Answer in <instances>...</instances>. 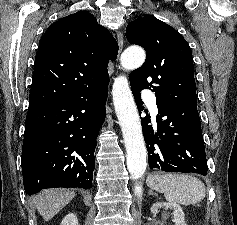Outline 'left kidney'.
<instances>
[{
  "instance_id": "obj_1",
  "label": "left kidney",
  "mask_w": 237,
  "mask_h": 225,
  "mask_svg": "<svg viewBox=\"0 0 237 225\" xmlns=\"http://www.w3.org/2000/svg\"><path fill=\"white\" fill-rule=\"evenodd\" d=\"M161 208H164L165 210H173L172 221L175 225H187L185 223L184 212L180 205L176 203L156 202L151 206V213L156 214Z\"/></svg>"
}]
</instances>
